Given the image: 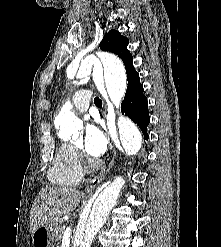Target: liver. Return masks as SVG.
Returning <instances> with one entry per match:
<instances>
[{"label": "liver", "mask_w": 221, "mask_h": 247, "mask_svg": "<svg viewBox=\"0 0 221 247\" xmlns=\"http://www.w3.org/2000/svg\"><path fill=\"white\" fill-rule=\"evenodd\" d=\"M83 193L68 187L49 185L41 189L30 213V230L55 223L70 214L80 203Z\"/></svg>", "instance_id": "obj_1"}]
</instances>
